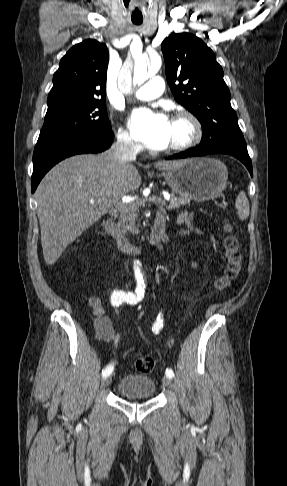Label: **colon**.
I'll list each match as a JSON object with an SVG mask.
<instances>
[{
  "label": "colon",
  "instance_id": "1",
  "mask_svg": "<svg viewBox=\"0 0 287 486\" xmlns=\"http://www.w3.org/2000/svg\"><path fill=\"white\" fill-rule=\"evenodd\" d=\"M227 234L224 238V250L227 259V265L224 274L217 280L216 286L219 289L227 287L235 280L242 269V253L237 238L230 233L229 226H226ZM155 362L151 357H140L135 362L136 369L141 373H149L153 370Z\"/></svg>",
  "mask_w": 287,
  "mask_h": 486
}]
</instances>
